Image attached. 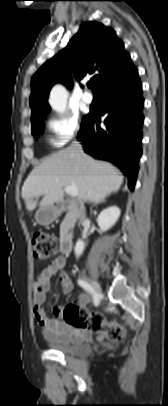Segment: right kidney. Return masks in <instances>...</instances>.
Wrapping results in <instances>:
<instances>
[{
  "instance_id": "right-kidney-1",
  "label": "right kidney",
  "mask_w": 168,
  "mask_h": 406,
  "mask_svg": "<svg viewBox=\"0 0 168 406\" xmlns=\"http://www.w3.org/2000/svg\"><path fill=\"white\" fill-rule=\"evenodd\" d=\"M121 211L117 206L104 209L97 218V223L102 232L109 230L120 217ZM85 244L79 239L75 245V255L79 257L84 251Z\"/></svg>"
}]
</instances>
